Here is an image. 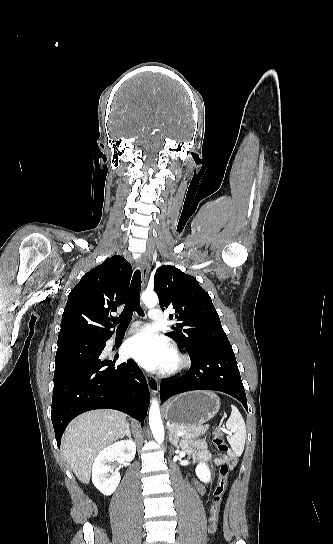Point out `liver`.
<instances>
[{
	"mask_svg": "<svg viewBox=\"0 0 333 544\" xmlns=\"http://www.w3.org/2000/svg\"><path fill=\"white\" fill-rule=\"evenodd\" d=\"M126 424L121 412L97 410L80 415L67 427L62 440L63 455L82 483H89L98 453L124 437Z\"/></svg>",
	"mask_w": 333,
	"mask_h": 544,
	"instance_id": "obj_1",
	"label": "liver"
}]
</instances>
